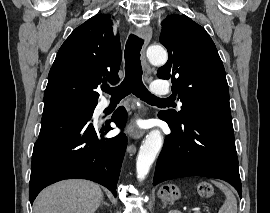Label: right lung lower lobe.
I'll return each instance as SVG.
<instances>
[{"mask_svg":"<svg viewBox=\"0 0 270 213\" xmlns=\"http://www.w3.org/2000/svg\"><path fill=\"white\" fill-rule=\"evenodd\" d=\"M126 118L127 112L121 107L113 114L111 121L123 127ZM112 129L110 121L98 126L88 118L74 115L42 117L40 134L32 154L31 204L46 186L71 178L95 181L116 196L127 138L122 133L104 138Z\"/></svg>","mask_w":270,"mask_h":213,"instance_id":"right-lung-lower-lobe-1","label":"right lung lower lobe"}]
</instances>
